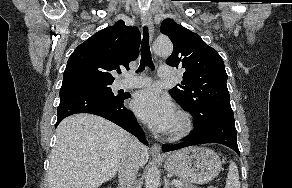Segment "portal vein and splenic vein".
<instances>
[{"instance_id": "portal-vein-and-splenic-vein-1", "label": "portal vein and splenic vein", "mask_w": 292, "mask_h": 188, "mask_svg": "<svg viewBox=\"0 0 292 188\" xmlns=\"http://www.w3.org/2000/svg\"><path fill=\"white\" fill-rule=\"evenodd\" d=\"M172 184H174L176 186H181L182 185V182L179 181V180L174 179V180H172Z\"/></svg>"}]
</instances>
